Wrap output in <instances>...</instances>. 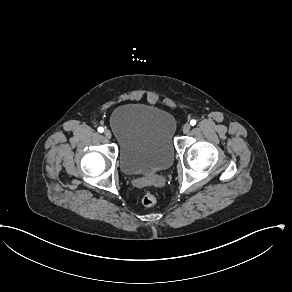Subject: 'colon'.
Returning <instances> with one entry per match:
<instances>
[{
	"mask_svg": "<svg viewBox=\"0 0 292 292\" xmlns=\"http://www.w3.org/2000/svg\"><path fill=\"white\" fill-rule=\"evenodd\" d=\"M156 200L157 199L154 192L152 190H148L147 192L144 193L141 201L144 206L150 207L156 204Z\"/></svg>",
	"mask_w": 292,
	"mask_h": 292,
	"instance_id": "colon-1",
	"label": "colon"
}]
</instances>
